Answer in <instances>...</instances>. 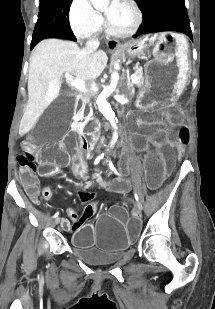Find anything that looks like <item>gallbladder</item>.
<instances>
[{
  "mask_svg": "<svg viewBox=\"0 0 215 309\" xmlns=\"http://www.w3.org/2000/svg\"><path fill=\"white\" fill-rule=\"evenodd\" d=\"M54 103H48V109L40 115L32 131L36 144H41L42 148H48L49 144H56L59 136H65L71 116L74 114L76 106L75 94H61L59 98H54Z\"/></svg>",
  "mask_w": 215,
  "mask_h": 309,
  "instance_id": "obj_1",
  "label": "gallbladder"
}]
</instances>
